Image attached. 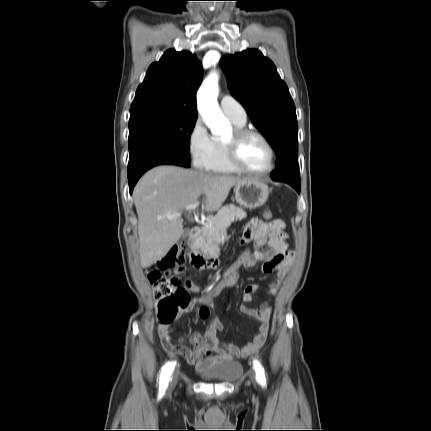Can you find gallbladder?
<instances>
[{"instance_id":"bac80fb5","label":"gallbladder","mask_w":431,"mask_h":431,"mask_svg":"<svg viewBox=\"0 0 431 431\" xmlns=\"http://www.w3.org/2000/svg\"><path fill=\"white\" fill-rule=\"evenodd\" d=\"M188 234H189V229L185 228V229L183 230L182 239H183V240H184V239H186V238H187V236H188Z\"/></svg>"}]
</instances>
